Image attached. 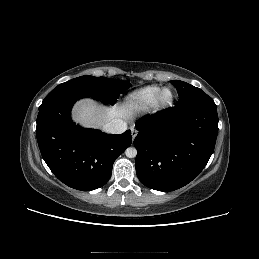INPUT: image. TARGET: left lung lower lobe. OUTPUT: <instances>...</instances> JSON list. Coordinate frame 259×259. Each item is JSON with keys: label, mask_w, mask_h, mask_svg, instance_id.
Masks as SVG:
<instances>
[{"label": "left lung lower lobe", "mask_w": 259, "mask_h": 259, "mask_svg": "<svg viewBox=\"0 0 259 259\" xmlns=\"http://www.w3.org/2000/svg\"><path fill=\"white\" fill-rule=\"evenodd\" d=\"M134 140L136 174L146 187L173 191L206 166L218 134L216 104H177L140 120Z\"/></svg>", "instance_id": "obj_1"}]
</instances>
